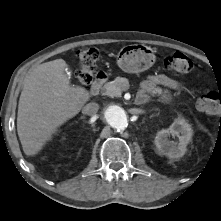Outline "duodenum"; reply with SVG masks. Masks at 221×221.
Listing matches in <instances>:
<instances>
[{
    "label": "duodenum",
    "mask_w": 221,
    "mask_h": 221,
    "mask_svg": "<svg viewBox=\"0 0 221 221\" xmlns=\"http://www.w3.org/2000/svg\"><path fill=\"white\" fill-rule=\"evenodd\" d=\"M106 78H107L106 74L103 71H99L96 74L95 80L93 81V83L90 87L91 94L97 95L100 92L103 83L106 81ZM146 101H147L146 95H144V94L138 95L137 102L139 104H144V103H146Z\"/></svg>",
    "instance_id": "1"
}]
</instances>
